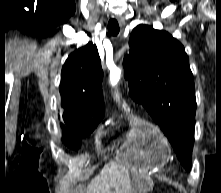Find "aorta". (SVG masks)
<instances>
[{"label": "aorta", "instance_id": "aorta-1", "mask_svg": "<svg viewBox=\"0 0 221 193\" xmlns=\"http://www.w3.org/2000/svg\"><path fill=\"white\" fill-rule=\"evenodd\" d=\"M121 77V70L115 68L110 73V82L112 85H116Z\"/></svg>", "mask_w": 221, "mask_h": 193}]
</instances>
